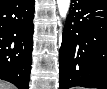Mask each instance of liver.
<instances>
[{"label":"liver","instance_id":"liver-1","mask_svg":"<svg viewBox=\"0 0 107 89\" xmlns=\"http://www.w3.org/2000/svg\"><path fill=\"white\" fill-rule=\"evenodd\" d=\"M0 89H14V86L5 82H1Z\"/></svg>","mask_w":107,"mask_h":89}]
</instances>
